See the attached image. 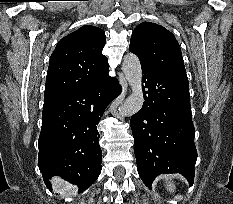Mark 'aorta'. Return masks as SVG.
I'll list each match as a JSON object with an SVG mask.
<instances>
[{"label": "aorta", "mask_w": 233, "mask_h": 204, "mask_svg": "<svg viewBox=\"0 0 233 204\" xmlns=\"http://www.w3.org/2000/svg\"><path fill=\"white\" fill-rule=\"evenodd\" d=\"M122 70L132 92L119 107L118 116L130 117L142 108L144 102L142 91V68L139 58L133 53L126 54L123 58Z\"/></svg>", "instance_id": "aorta-1"}]
</instances>
